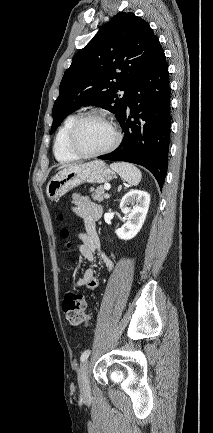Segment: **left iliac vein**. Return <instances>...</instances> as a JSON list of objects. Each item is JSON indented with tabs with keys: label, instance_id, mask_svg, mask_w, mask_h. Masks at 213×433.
I'll list each match as a JSON object with an SVG mask.
<instances>
[{
	"label": "left iliac vein",
	"instance_id": "left-iliac-vein-1",
	"mask_svg": "<svg viewBox=\"0 0 213 433\" xmlns=\"http://www.w3.org/2000/svg\"><path fill=\"white\" fill-rule=\"evenodd\" d=\"M78 383L80 388V394L82 397H88L90 395V386L88 379V361H86L78 372Z\"/></svg>",
	"mask_w": 213,
	"mask_h": 433
}]
</instances>
